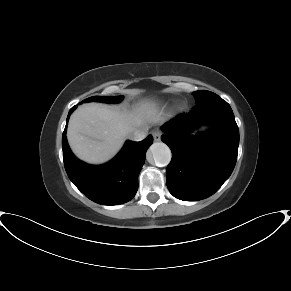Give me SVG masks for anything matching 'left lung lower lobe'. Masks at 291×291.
<instances>
[{"label":"left lung lower lobe","mask_w":291,"mask_h":291,"mask_svg":"<svg viewBox=\"0 0 291 291\" xmlns=\"http://www.w3.org/2000/svg\"><path fill=\"white\" fill-rule=\"evenodd\" d=\"M206 123L210 130L192 135ZM162 130L172 151L166 169L170 193L184 201L214 194L231 175L238 154L239 129L230 105L216 96L178 114Z\"/></svg>","instance_id":"left-lung-lower-lobe-1"}]
</instances>
